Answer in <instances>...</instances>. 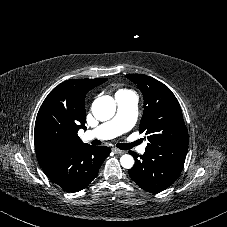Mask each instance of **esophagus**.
<instances>
[{
    "label": "esophagus",
    "mask_w": 227,
    "mask_h": 227,
    "mask_svg": "<svg viewBox=\"0 0 227 227\" xmlns=\"http://www.w3.org/2000/svg\"><path fill=\"white\" fill-rule=\"evenodd\" d=\"M112 151L115 153V154H124L125 151L121 150V149H118V148H112Z\"/></svg>",
    "instance_id": "34e87169"
}]
</instances>
